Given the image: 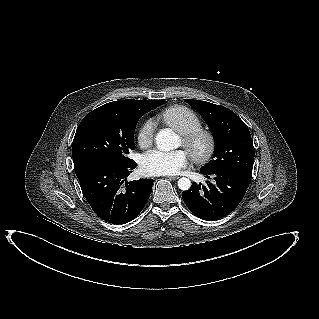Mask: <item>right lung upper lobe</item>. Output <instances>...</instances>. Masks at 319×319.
I'll list each match as a JSON object with an SVG mask.
<instances>
[{
  "label": "right lung upper lobe",
  "mask_w": 319,
  "mask_h": 319,
  "mask_svg": "<svg viewBox=\"0 0 319 319\" xmlns=\"http://www.w3.org/2000/svg\"><path fill=\"white\" fill-rule=\"evenodd\" d=\"M140 101H150V100L127 99V100H119V101L109 102L105 105L127 104V103H131V102H140Z\"/></svg>",
  "instance_id": "cb5924a9"
}]
</instances>
